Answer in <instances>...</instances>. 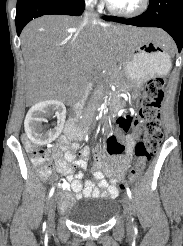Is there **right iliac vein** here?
Returning <instances> with one entry per match:
<instances>
[{"mask_svg":"<svg viewBox=\"0 0 183 246\" xmlns=\"http://www.w3.org/2000/svg\"><path fill=\"white\" fill-rule=\"evenodd\" d=\"M55 201L56 196L54 195L48 205V227H54V217H55Z\"/></svg>","mask_w":183,"mask_h":246,"instance_id":"obj_1","label":"right iliac vein"}]
</instances>
